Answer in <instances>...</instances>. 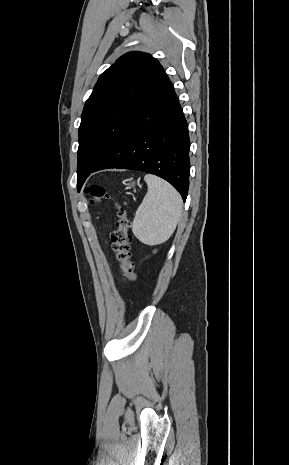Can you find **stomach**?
<instances>
[{
    "label": "stomach",
    "instance_id": "obj_1",
    "mask_svg": "<svg viewBox=\"0 0 289 465\" xmlns=\"http://www.w3.org/2000/svg\"><path fill=\"white\" fill-rule=\"evenodd\" d=\"M127 185H128V188H130V187H132V186L135 185V182H130V183H128Z\"/></svg>",
    "mask_w": 289,
    "mask_h": 465
}]
</instances>
